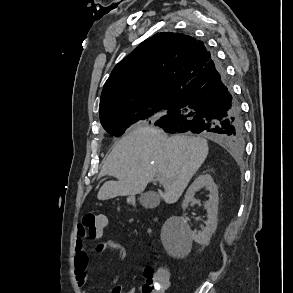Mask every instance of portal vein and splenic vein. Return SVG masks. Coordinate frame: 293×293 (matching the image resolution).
I'll use <instances>...</instances> for the list:
<instances>
[{
  "mask_svg": "<svg viewBox=\"0 0 293 293\" xmlns=\"http://www.w3.org/2000/svg\"><path fill=\"white\" fill-rule=\"evenodd\" d=\"M156 179L159 181V182H161V183H163L164 182V178L161 176V175H156Z\"/></svg>",
  "mask_w": 293,
  "mask_h": 293,
  "instance_id": "obj_1",
  "label": "portal vein and splenic vein"
}]
</instances>
